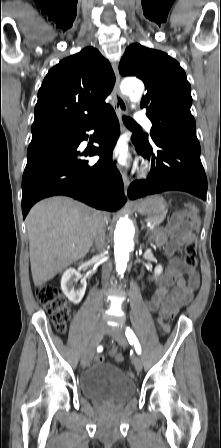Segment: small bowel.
<instances>
[{"label":"small bowel","instance_id":"1","mask_svg":"<svg viewBox=\"0 0 221 448\" xmlns=\"http://www.w3.org/2000/svg\"><path fill=\"white\" fill-rule=\"evenodd\" d=\"M194 239L192 232L184 231L175 222L168 224L154 238L156 244L165 246V253L170 263L163 283L155 289L151 299L146 302V307L152 312L159 313L157 323L165 332L169 331V326L164 321L190 303L199 286L197 269L186 267L184 262L176 256L179 248ZM111 354L115 355V351ZM98 358H96L97 362Z\"/></svg>","mask_w":221,"mask_h":448}]
</instances>
